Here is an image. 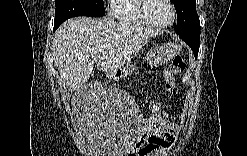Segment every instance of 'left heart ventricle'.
<instances>
[{"label": "left heart ventricle", "instance_id": "obj_1", "mask_svg": "<svg viewBox=\"0 0 247 156\" xmlns=\"http://www.w3.org/2000/svg\"><path fill=\"white\" fill-rule=\"evenodd\" d=\"M146 13L156 23H166L171 19V9L164 0L149 1Z\"/></svg>", "mask_w": 247, "mask_h": 156}]
</instances>
